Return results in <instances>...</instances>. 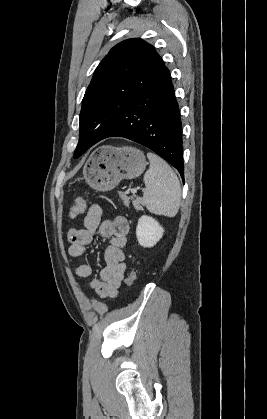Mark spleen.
<instances>
[{
	"label": "spleen",
	"instance_id": "3e777b00",
	"mask_svg": "<svg viewBox=\"0 0 267 419\" xmlns=\"http://www.w3.org/2000/svg\"><path fill=\"white\" fill-rule=\"evenodd\" d=\"M147 157L150 167L143 179V203L151 213L174 217L181 201L179 179L162 158L152 152H148Z\"/></svg>",
	"mask_w": 267,
	"mask_h": 419
}]
</instances>
